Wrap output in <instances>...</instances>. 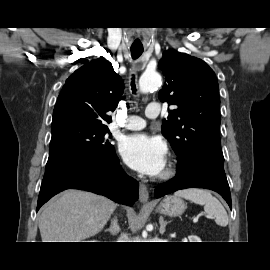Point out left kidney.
Returning a JSON list of instances; mask_svg holds the SVG:
<instances>
[{
  "label": "left kidney",
  "mask_w": 270,
  "mask_h": 270,
  "mask_svg": "<svg viewBox=\"0 0 270 270\" xmlns=\"http://www.w3.org/2000/svg\"><path fill=\"white\" fill-rule=\"evenodd\" d=\"M190 239L194 240V242H201V240L196 236H191Z\"/></svg>",
  "instance_id": "obj_1"
}]
</instances>
